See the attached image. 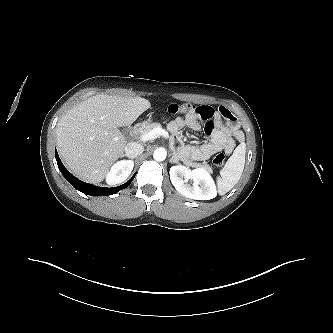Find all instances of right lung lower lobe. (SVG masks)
I'll return each instance as SVG.
<instances>
[{
  "instance_id": "98d812e1",
  "label": "right lung lower lobe",
  "mask_w": 333,
  "mask_h": 333,
  "mask_svg": "<svg viewBox=\"0 0 333 333\" xmlns=\"http://www.w3.org/2000/svg\"><path fill=\"white\" fill-rule=\"evenodd\" d=\"M55 157H56V161L58 164V168L61 171L62 175L65 177V179L70 184H72V186L75 189L81 191L82 193H84L86 195H90V196L112 195V194H115L118 191L124 189L125 187H127L131 183V181L134 179V177H132L127 183H125L119 187H114V188H105V187L94 186L92 184L82 182L79 179H77L75 176H73L62 164L57 151L55 152Z\"/></svg>"
}]
</instances>
